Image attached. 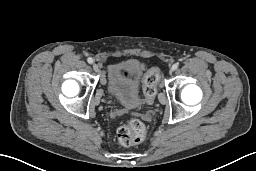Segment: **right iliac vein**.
I'll return each mask as SVG.
<instances>
[{
  "mask_svg": "<svg viewBox=\"0 0 256 171\" xmlns=\"http://www.w3.org/2000/svg\"><path fill=\"white\" fill-rule=\"evenodd\" d=\"M93 70L95 72H99V67H98V65L96 63L93 64Z\"/></svg>",
  "mask_w": 256,
  "mask_h": 171,
  "instance_id": "1",
  "label": "right iliac vein"
}]
</instances>
